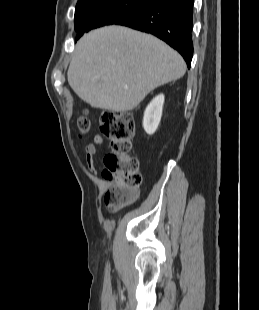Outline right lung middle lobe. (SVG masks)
<instances>
[{
    "label": "right lung middle lobe",
    "instance_id": "right-lung-middle-lobe-1",
    "mask_svg": "<svg viewBox=\"0 0 259 310\" xmlns=\"http://www.w3.org/2000/svg\"><path fill=\"white\" fill-rule=\"evenodd\" d=\"M156 0H103L94 5L75 9V31L83 33L118 20L152 5Z\"/></svg>",
    "mask_w": 259,
    "mask_h": 310
}]
</instances>
